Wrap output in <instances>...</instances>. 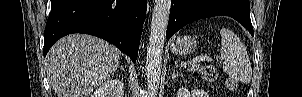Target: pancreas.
Wrapping results in <instances>:
<instances>
[{
  "instance_id": "cf45deb5",
  "label": "pancreas",
  "mask_w": 302,
  "mask_h": 97,
  "mask_svg": "<svg viewBox=\"0 0 302 97\" xmlns=\"http://www.w3.org/2000/svg\"><path fill=\"white\" fill-rule=\"evenodd\" d=\"M196 70H198V67H197L196 65H193V66L190 68V71H191V72H194V71H196Z\"/></svg>"
}]
</instances>
